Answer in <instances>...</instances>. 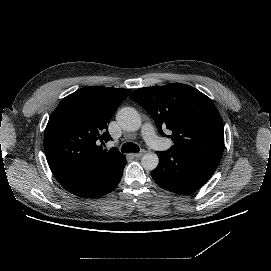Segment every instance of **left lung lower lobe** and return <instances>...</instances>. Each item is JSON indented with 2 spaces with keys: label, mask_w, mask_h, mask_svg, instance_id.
Instances as JSON below:
<instances>
[{
  "label": "left lung lower lobe",
  "mask_w": 271,
  "mask_h": 271,
  "mask_svg": "<svg viewBox=\"0 0 271 271\" xmlns=\"http://www.w3.org/2000/svg\"><path fill=\"white\" fill-rule=\"evenodd\" d=\"M159 165L152 171L154 181L163 189L181 195L202 187L217 169L220 154L194 149H169L157 152Z\"/></svg>",
  "instance_id": "0a47b994"
}]
</instances>
